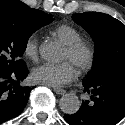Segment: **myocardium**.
<instances>
[{"mask_svg":"<svg viewBox=\"0 0 125 125\" xmlns=\"http://www.w3.org/2000/svg\"><path fill=\"white\" fill-rule=\"evenodd\" d=\"M66 50L73 57H77L79 55L83 56L82 60L78 64L79 71L85 72L91 68L95 58V50L91 43L80 39L66 45Z\"/></svg>","mask_w":125,"mask_h":125,"instance_id":"1","label":"myocardium"}]
</instances>
